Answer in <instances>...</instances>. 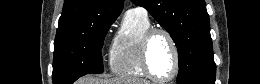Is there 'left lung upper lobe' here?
I'll return each mask as SVG.
<instances>
[{
  "label": "left lung upper lobe",
  "instance_id": "5c2ea615",
  "mask_svg": "<svg viewBox=\"0 0 260 84\" xmlns=\"http://www.w3.org/2000/svg\"><path fill=\"white\" fill-rule=\"evenodd\" d=\"M166 29L178 48V84L215 83L209 15L204 0H131Z\"/></svg>",
  "mask_w": 260,
  "mask_h": 84
}]
</instances>
